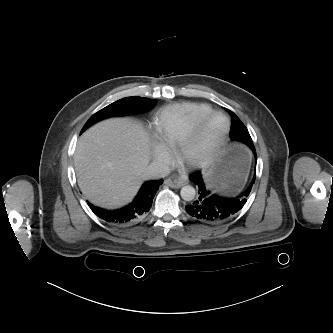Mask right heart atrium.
<instances>
[{"label": "right heart atrium", "instance_id": "d8ad5b80", "mask_svg": "<svg viewBox=\"0 0 333 333\" xmlns=\"http://www.w3.org/2000/svg\"><path fill=\"white\" fill-rule=\"evenodd\" d=\"M152 156L155 163L161 167L168 164L171 159L169 150L159 142L152 144Z\"/></svg>", "mask_w": 333, "mask_h": 333}]
</instances>
